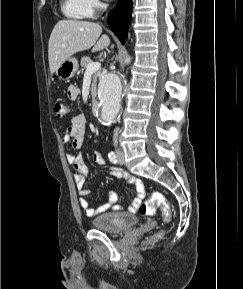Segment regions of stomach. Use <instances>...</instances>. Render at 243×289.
Masks as SVG:
<instances>
[{"instance_id":"obj_1","label":"stomach","mask_w":243,"mask_h":289,"mask_svg":"<svg viewBox=\"0 0 243 289\" xmlns=\"http://www.w3.org/2000/svg\"><path fill=\"white\" fill-rule=\"evenodd\" d=\"M78 61L74 57H70L63 61L56 70V75L63 80L70 79L78 70Z\"/></svg>"}]
</instances>
